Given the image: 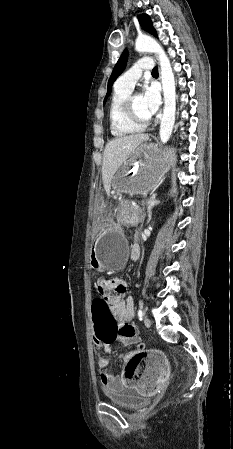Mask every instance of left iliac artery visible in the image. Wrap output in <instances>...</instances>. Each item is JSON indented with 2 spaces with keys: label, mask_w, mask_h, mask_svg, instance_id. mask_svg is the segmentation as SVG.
I'll return each mask as SVG.
<instances>
[{
  "label": "left iliac artery",
  "mask_w": 233,
  "mask_h": 449,
  "mask_svg": "<svg viewBox=\"0 0 233 449\" xmlns=\"http://www.w3.org/2000/svg\"><path fill=\"white\" fill-rule=\"evenodd\" d=\"M143 315H144V313H143L142 305H141L140 309L138 310V317H139V320H142V319H143Z\"/></svg>",
  "instance_id": "obj_1"
}]
</instances>
